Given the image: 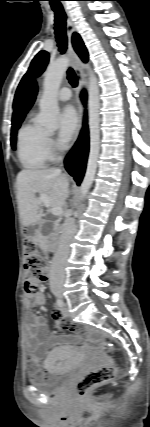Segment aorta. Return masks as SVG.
Returning <instances> with one entry per match:
<instances>
[{
  "instance_id": "aorta-1",
  "label": "aorta",
  "mask_w": 150,
  "mask_h": 427,
  "mask_svg": "<svg viewBox=\"0 0 150 427\" xmlns=\"http://www.w3.org/2000/svg\"><path fill=\"white\" fill-rule=\"evenodd\" d=\"M69 58L60 57L54 63L48 66L44 81H43V94L40 99V114L38 122L49 130H55L58 126V90L62 78L69 65ZM88 69L90 76L88 81V123H89V137H90V150L87 162L86 173L80 186V197L83 199L95 178L97 163L100 151V99L99 87L95 74L87 64L83 65Z\"/></svg>"
}]
</instances>
